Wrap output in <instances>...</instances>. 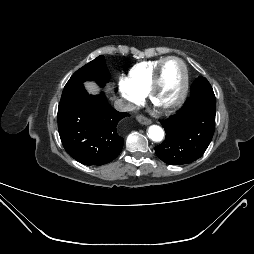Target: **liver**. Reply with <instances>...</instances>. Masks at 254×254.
<instances>
[{
	"label": "liver",
	"mask_w": 254,
	"mask_h": 254,
	"mask_svg": "<svg viewBox=\"0 0 254 254\" xmlns=\"http://www.w3.org/2000/svg\"><path fill=\"white\" fill-rule=\"evenodd\" d=\"M85 86L90 93H96L98 91L97 86L93 82H87L85 83Z\"/></svg>",
	"instance_id": "6515ba94"
}]
</instances>
